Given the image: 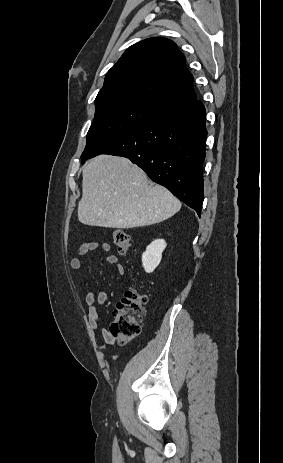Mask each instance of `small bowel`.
I'll list each match as a JSON object with an SVG mask.
<instances>
[{
    "label": "small bowel",
    "instance_id": "c3829d8e",
    "mask_svg": "<svg viewBox=\"0 0 283 463\" xmlns=\"http://www.w3.org/2000/svg\"><path fill=\"white\" fill-rule=\"evenodd\" d=\"M97 249H101L104 252H107V263L110 265H114L118 274L122 275L124 273V267L118 262V257L110 253L111 245L108 242L98 243L97 241H87L83 243L78 252L77 256L74 257L71 261V267L74 270H80L83 264L84 259L86 258L87 254L91 251H95ZM107 299V292L100 291L97 294L94 290L89 289L85 295V301L88 306V320L91 330L94 334H96L98 324L100 323V315L98 312V305L103 304ZM105 343L101 345V347H105L106 345H111L114 343L115 339L111 335V333L105 329L103 331ZM117 355H113V359H117Z\"/></svg>",
    "mask_w": 283,
    "mask_h": 463
}]
</instances>
